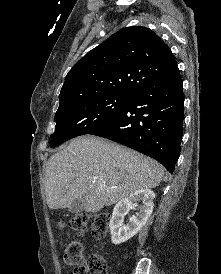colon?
Returning a JSON list of instances; mask_svg holds the SVG:
<instances>
[{"mask_svg": "<svg viewBox=\"0 0 221 274\" xmlns=\"http://www.w3.org/2000/svg\"><path fill=\"white\" fill-rule=\"evenodd\" d=\"M89 223L95 238L102 239L106 236L109 228V216L105 213L93 215L77 213L71 217L69 226L73 231L82 233ZM59 227L63 229L65 224L60 223ZM63 258L67 265L74 267L70 274H108L106 261L99 255H92L85 259L83 245L78 241L67 244Z\"/></svg>", "mask_w": 221, "mask_h": 274, "instance_id": "obj_1", "label": "colon"}]
</instances>
